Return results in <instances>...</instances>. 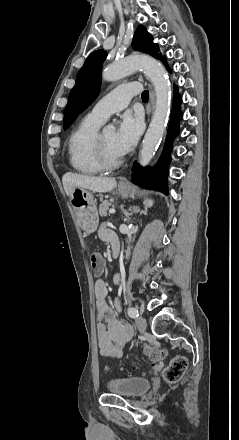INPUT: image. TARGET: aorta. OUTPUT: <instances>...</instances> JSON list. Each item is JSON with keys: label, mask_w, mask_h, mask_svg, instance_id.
Masks as SVG:
<instances>
[{"label": "aorta", "mask_w": 239, "mask_h": 440, "mask_svg": "<svg viewBox=\"0 0 239 440\" xmlns=\"http://www.w3.org/2000/svg\"><path fill=\"white\" fill-rule=\"evenodd\" d=\"M142 68L146 76L150 78L156 94V106L151 124L143 140L142 150L139 156L141 166H147L152 160L156 146H158L166 128L171 104V86L165 78V68L154 58L149 56H129L124 62L111 64L102 72L105 82H117L121 78H126L134 70ZM113 124L105 126L103 132H115Z\"/></svg>", "instance_id": "1"}]
</instances>
